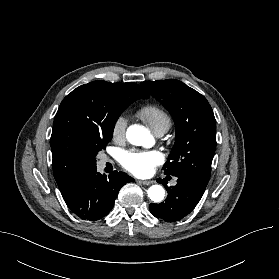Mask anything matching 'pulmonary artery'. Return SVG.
Listing matches in <instances>:
<instances>
[{"label": "pulmonary artery", "mask_w": 279, "mask_h": 279, "mask_svg": "<svg viewBox=\"0 0 279 279\" xmlns=\"http://www.w3.org/2000/svg\"><path fill=\"white\" fill-rule=\"evenodd\" d=\"M167 130L166 129H163V130H160L156 133L157 136H162ZM176 183V181H174V184Z\"/></svg>", "instance_id": "pulmonary-artery-1"}]
</instances>
